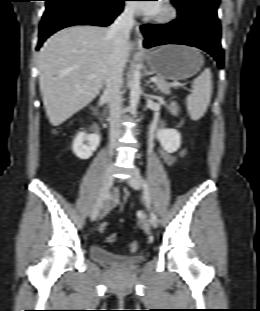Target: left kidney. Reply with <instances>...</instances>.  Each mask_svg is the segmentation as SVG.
I'll list each match as a JSON object with an SVG mask.
<instances>
[{
    "label": "left kidney",
    "instance_id": "5707ae66",
    "mask_svg": "<svg viewBox=\"0 0 260 311\" xmlns=\"http://www.w3.org/2000/svg\"><path fill=\"white\" fill-rule=\"evenodd\" d=\"M161 146L168 153L176 152L181 145V135L174 129H160L157 132Z\"/></svg>",
    "mask_w": 260,
    "mask_h": 311
}]
</instances>
